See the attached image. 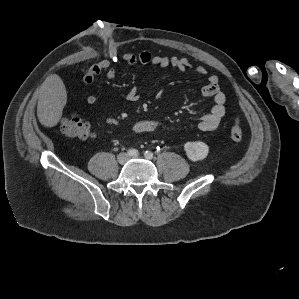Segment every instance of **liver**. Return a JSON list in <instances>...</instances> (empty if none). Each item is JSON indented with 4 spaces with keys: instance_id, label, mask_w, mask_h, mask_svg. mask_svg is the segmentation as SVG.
<instances>
[{
    "instance_id": "liver-1",
    "label": "liver",
    "mask_w": 299,
    "mask_h": 299,
    "mask_svg": "<svg viewBox=\"0 0 299 299\" xmlns=\"http://www.w3.org/2000/svg\"><path fill=\"white\" fill-rule=\"evenodd\" d=\"M67 102V91L63 80L57 74L49 75L40 87L37 116L45 127H54L62 116Z\"/></svg>"
}]
</instances>
